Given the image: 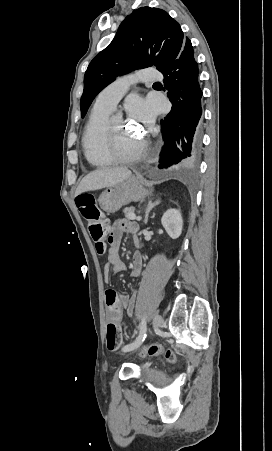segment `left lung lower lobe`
<instances>
[{
  "instance_id": "1",
  "label": "left lung lower lobe",
  "mask_w": 272,
  "mask_h": 451,
  "mask_svg": "<svg viewBox=\"0 0 272 451\" xmlns=\"http://www.w3.org/2000/svg\"><path fill=\"white\" fill-rule=\"evenodd\" d=\"M161 73L173 106L161 122L165 145L159 168H188L197 163L200 154L203 95L199 84L198 63L188 38H185L178 57Z\"/></svg>"
}]
</instances>
